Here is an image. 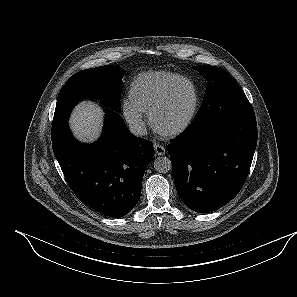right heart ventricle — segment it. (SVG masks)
Segmentation results:
<instances>
[{"label":"right heart ventricle","mask_w":297,"mask_h":297,"mask_svg":"<svg viewBox=\"0 0 297 297\" xmlns=\"http://www.w3.org/2000/svg\"><path fill=\"white\" fill-rule=\"evenodd\" d=\"M179 76L172 72L152 71L138 76L129 89V100L143 113H149L169 84Z\"/></svg>","instance_id":"right-heart-ventricle-1"}]
</instances>
